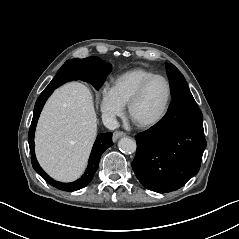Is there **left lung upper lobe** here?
Returning <instances> with one entry per match:
<instances>
[{"label":"left lung upper lobe","mask_w":239,"mask_h":239,"mask_svg":"<svg viewBox=\"0 0 239 239\" xmlns=\"http://www.w3.org/2000/svg\"><path fill=\"white\" fill-rule=\"evenodd\" d=\"M167 74L172 87V95L189 91L188 85L182 73L171 63L166 65Z\"/></svg>","instance_id":"1"}]
</instances>
